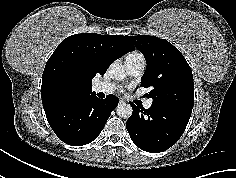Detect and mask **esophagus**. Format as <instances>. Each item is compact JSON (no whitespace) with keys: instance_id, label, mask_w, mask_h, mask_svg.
<instances>
[{"instance_id":"esophagus-1","label":"esophagus","mask_w":236,"mask_h":178,"mask_svg":"<svg viewBox=\"0 0 236 178\" xmlns=\"http://www.w3.org/2000/svg\"><path fill=\"white\" fill-rule=\"evenodd\" d=\"M123 103H124V100L120 98L118 104L121 105Z\"/></svg>"}]
</instances>
